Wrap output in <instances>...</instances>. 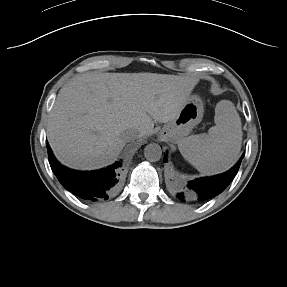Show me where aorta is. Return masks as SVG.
I'll list each match as a JSON object with an SVG mask.
<instances>
[{
    "label": "aorta",
    "instance_id": "762f6f07",
    "mask_svg": "<svg viewBox=\"0 0 287 287\" xmlns=\"http://www.w3.org/2000/svg\"><path fill=\"white\" fill-rule=\"evenodd\" d=\"M144 156L150 162H156L161 159L162 149L156 143L148 144L144 149Z\"/></svg>",
    "mask_w": 287,
    "mask_h": 287
}]
</instances>
